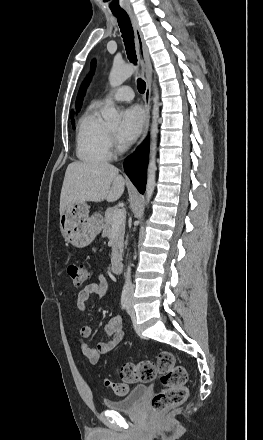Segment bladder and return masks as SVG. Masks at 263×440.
<instances>
[{
    "mask_svg": "<svg viewBox=\"0 0 263 440\" xmlns=\"http://www.w3.org/2000/svg\"><path fill=\"white\" fill-rule=\"evenodd\" d=\"M148 391L146 385H139L130 390V392L120 399H105L104 406L113 411L128 412L137 409L138 405L145 397Z\"/></svg>",
    "mask_w": 263,
    "mask_h": 440,
    "instance_id": "1",
    "label": "bladder"
}]
</instances>
